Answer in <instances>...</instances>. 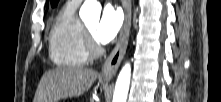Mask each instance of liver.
<instances>
[{"label":"liver","mask_w":221,"mask_h":102,"mask_svg":"<svg viewBox=\"0 0 221 102\" xmlns=\"http://www.w3.org/2000/svg\"><path fill=\"white\" fill-rule=\"evenodd\" d=\"M97 72L82 67H58L46 72L37 87L33 102H58L87 92Z\"/></svg>","instance_id":"6515ba94"}]
</instances>
